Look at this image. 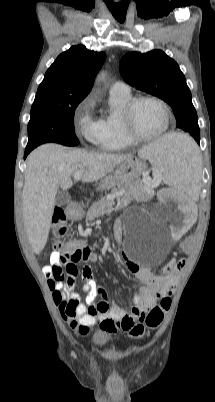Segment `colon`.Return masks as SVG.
Returning <instances> with one entry per match:
<instances>
[{
    "mask_svg": "<svg viewBox=\"0 0 215 402\" xmlns=\"http://www.w3.org/2000/svg\"><path fill=\"white\" fill-rule=\"evenodd\" d=\"M53 230L57 237L63 236L67 231L66 219L63 211L61 209H55L53 213ZM85 238L82 235L77 236V238H70L69 241L62 242L61 254L64 257H70L69 259L61 258L53 263V269L56 272H65L76 270V263L81 259L82 253L80 251L82 243H84ZM196 241L194 236H189L187 239H182L178 251L180 254H187L191 248V244ZM75 252V253H74ZM184 266L183 261H177L167 266L166 272L171 274H176ZM49 287L53 290V295L56 303L61 302V295L58 290H56L53 281L48 280ZM171 306V298L165 297L161 300L160 305L153 307L147 316L143 318L142 322L134 325L130 329V334L134 338L141 337L146 328L155 329L163 321L165 312ZM144 321V323H143Z\"/></svg>",
    "mask_w": 215,
    "mask_h": 402,
    "instance_id": "colon-1",
    "label": "colon"
}]
</instances>
